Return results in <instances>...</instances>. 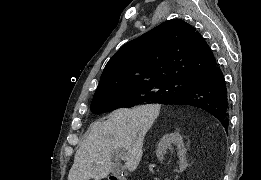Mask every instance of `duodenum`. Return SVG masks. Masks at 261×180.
<instances>
[{"label": "duodenum", "mask_w": 261, "mask_h": 180, "mask_svg": "<svg viewBox=\"0 0 261 180\" xmlns=\"http://www.w3.org/2000/svg\"><path fill=\"white\" fill-rule=\"evenodd\" d=\"M109 180H127L126 177H109Z\"/></svg>", "instance_id": "obj_1"}]
</instances>
